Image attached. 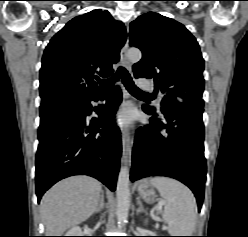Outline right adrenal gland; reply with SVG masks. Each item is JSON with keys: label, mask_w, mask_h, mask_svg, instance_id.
Wrapping results in <instances>:
<instances>
[{"label": "right adrenal gland", "mask_w": 248, "mask_h": 237, "mask_svg": "<svg viewBox=\"0 0 248 237\" xmlns=\"http://www.w3.org/2000/svg\"><path fill=\"white\" fill-rule=\"evenodd\" d=\"M105 207V199H104V194L102 193L100 196L99 203L97 205V208L95 210V213L101 212V210Z\"/></svg>", "instance_id": "1"}]
</instances>
